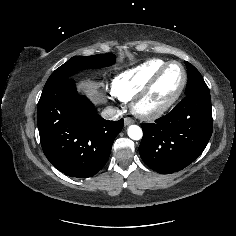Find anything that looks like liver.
<instances>
[{"label": "liver", "instance_id": "liver-1", "mask_svg": "<svg viewBox=\"0 0 236 236\" xmlns=\"http://www.w3.org/2000/svg\"><path fill=\"white\" fill-rule=\"evenodd\" d=\"M81 87H84L85 91L88 93L89 96H98V91L96 85L91 81H82ZM98 101V100H97Z\"/></svg>", "mask_w": 236, "mask_h": 236}]
</instances>
